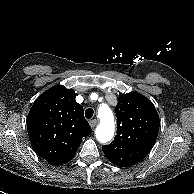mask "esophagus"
<instances>
[{"label": "esophagus", "instance_id": "esophagus-1", "mask_svg": "<svg viewBox=\"0 0 194 194\" xmlns=\"http://www.w3.org/2000/svg\"><path fill=\"white\" fill-rule=\"evenodd\" d=\"M89 124L92 128H95L98 124V121L96 119H93V120H90Z\"/></svg>", "mask_w": 194, "mask_h": 194}]
</instances>
